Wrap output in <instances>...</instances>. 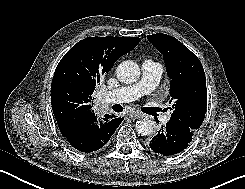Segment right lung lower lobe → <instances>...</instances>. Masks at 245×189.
<instances>
[{"label":"right lung lower lobe","instance_id":"obj_1","mask_svg":"<svg viewBox=\"0 0 245 189\" xmlns=\"http://www.w3.org/2000/svg\"><path fill=\"white\" fill-rule=\"evenodd\" d=\"M123 118L100 117L95 115L92 122L80 130L64 136L69 144L78 151L90 153L103 148L115 132Z\"/></svg>","mask_w":245,"mask_h":189}]
</instances>
